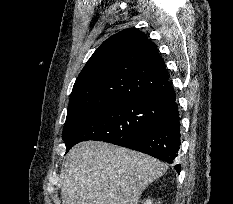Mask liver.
<instances>
[{"instance_id":"6515ba94","label":"liver","mask_w":233,"mask_h":204,"mask_svg":"<svg viewBox=\"0 0 233 204\" xmlns=\"http://www.w3.org/2000/svg\"><path fill=\"white\" fill-rule=\"evenodd\" d=\"M167 169L149 155L83 141L66 156L62 204H138L144 189Z\"/></svg>"}]
</instances>
